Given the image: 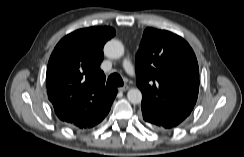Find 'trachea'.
Returning <instances> with one entry per match:
<instances>
[{
  "mask_svg": "<svg viewBox=\"0 0 244 157\" xmlns=\"http://www.w3.org/2000/svg\"><path fill=\"white\" fill-rule=\"evenodd\" d=\"M107 86L120 87L123 86V80L118 73H112L107 80Z\"/></svg>",
  "mask_w": 244,
  "mask_h": 157,
  "instance_id": "obj_1",
  "label": "trachea"
}]
</instances>
